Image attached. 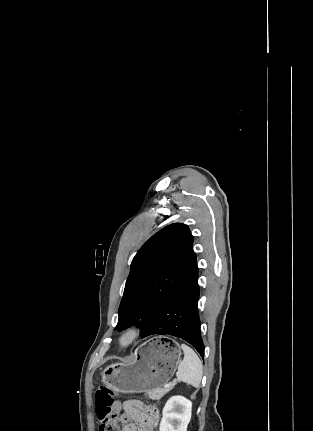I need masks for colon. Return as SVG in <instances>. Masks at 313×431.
Listing matches in <instances>:
<instances>
[{
    "mask_svg": "<svg viewBox=\"0 0 313 431\" xmlns=\"http://www.w3.org/2000/svg\"><path fill=\"white\" fill-rule=\"evenodd\" d=\"M115 392L105 386H99L95 391L96 415L99 420V431H119L117 415L112 409ZM151 414L157 418V410L150 408Z\"/></svg>",
    "mask_w": 313,
    "mask_h": 431,
    "instance_id": "colon-1",
    "label": "colon"
}]
</instances>
